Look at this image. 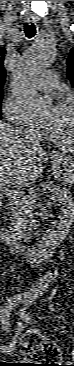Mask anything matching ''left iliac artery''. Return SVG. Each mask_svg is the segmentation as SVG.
Instances as JSON below:
<instances>
[{"label":"left iliac artery","instance_id":"44dca946","mask_svg":"<svg viewBox=\"0 0 74 366\" xmlns=\"http://www.w3.org/2000/svg\"><path fill=\"white\" fill-rule=\"evenodd\" d=\"M33 299H34V298L29 299V300L25 303V304H26V306L31 305V304L33 303ZM21 316H22V318H23V319H25L26 321H30V320H31V318H30L27 314H25L24 312H22V313H21Z\"/></svg>","mask_w":74,"mask_h":366}]
</instances>
